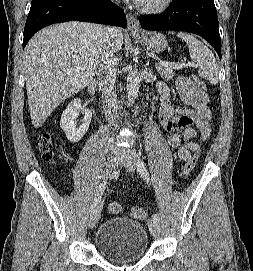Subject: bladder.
Wrapping results in <instances>:
<instances>
[{
	"label": "bladder",
	"instance_id": "bladder-1",
	"mask_svg": "<svg viewBox=\"0 0 253 271\" xmlns=\"http://www.w3.org/2000/svg\"><path fill=\"white\" fill-rule=\"evenodd\" d=\"M149 238L145 227L132 219L112 218L103 222L95 234L97 250L116 263L135 261L147 252Z\"/></svg>",
	"mask_w": 253,
	"mask_h": 271
}]
</instances>
